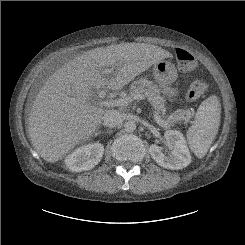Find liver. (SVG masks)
<instances>
[{
	"label": "liver",
	"instance_id": "6515ba94",
	"mask_svg": "<svg viewBox=\"0 0 245 245\" xmlns=\"http://www.w3.org/2000/svg\"><path fill=\"white\" fill-rule=\"evenodd\" d=\"M169 57L171 53L155 45L122 43L89 50L67 62L47 79L31 107L28 135L34 149L47 162L61 160L100 127L106 110L93 99L92 89L107 85L120 90ZM108 67L109 80L103 75Z\"/></svg>",
	"mask_w": 245,
	"mask_h": 245
}]
</instances>
